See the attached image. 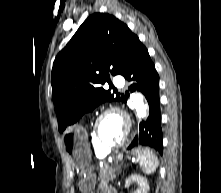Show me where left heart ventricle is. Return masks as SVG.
<instances>
[{"label":"left heart ventricle","instance_id":"left-heart-ventricle-1","mask_svg":"<svg viewBox=\"0 0 221 193\" xmlns=\"http://www.w3.org/2000/svg\"><path fill=\"white\" fill-rule=\"evenodd\" d=\"M126 123L117 113L106 114L99 122L98 133L100 138L108 143L115 144L119 142L125 132Z\"/></svg>","mask_w":221,"mask_h":193}]
</instances>
